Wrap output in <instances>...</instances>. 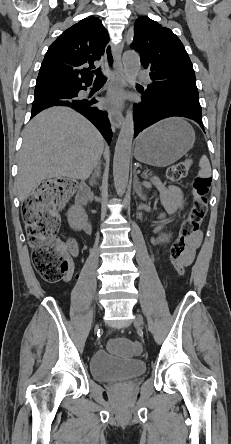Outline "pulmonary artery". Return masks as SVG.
Returning <instances> with one entry per match:
<instances>
[{"instance_id": "e3ab8cb5", "label": "pulmonary artery", "mask_w": 231, "mask_h": 444, "mask_svg": "<svg viewBox=\"0 0 231 444\" xmlns=\"http://www.w3.org/2000/svg\"><path fill=\"white\" fill-rule=\"evenodd\" d=\"M138 78L142 81H150L149 75L144 71L137 72Z\"/></svg>"}]
</instances>
